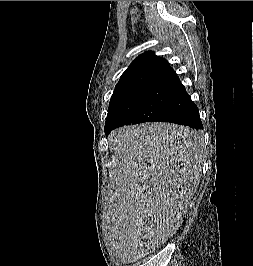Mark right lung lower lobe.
I'll return each instance as SVG.
<instances>
[{"label":"right lung lower lobe","instance_id":"obj_1","mask_svg":"<svg viewBox=\"0 0 253 266\" xmlns=\"http://www.w3.org/2000/svg\"><path fill=\"white\" fill-rule=\"evenodd\" d=\"M157 121L172 122L195 129H202L203 125L199 117V111L191 97L187 94L184 85L179 81L173 90L170 106L167 112ZM127 123L115 122L105 126V134Z\"/></svg>","mask_w":253,"mask_h":266}]
</instances>
